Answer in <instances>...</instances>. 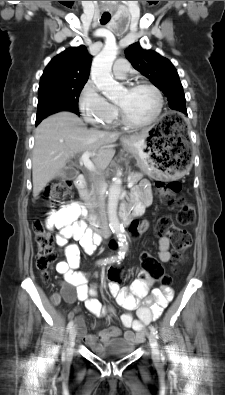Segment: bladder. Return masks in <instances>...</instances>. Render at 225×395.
I'll list each match as a JSON object with an SVG mask.
<instances>
[{"mask_svg": "<svg viewBox=\"0 0 225 395\" xmlns=\"http://www.w3.org/2000/svg\"><path fill=\"white\" fill-rule=\"evenodd\" d=\"M135 350V345L125 338H114L102 345H95L93 352L101 358L124 357Z\"/></svg>", "mask_w": 225, "mask_h": 395, "instance_id": "1", "label": "bladder"}]
</instances>
